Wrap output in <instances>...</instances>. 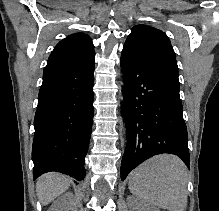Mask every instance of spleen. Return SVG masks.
<instances>
[{
    "mask_svg": "<svg viewBox=\"0 0 219 211\" xmlns=\"http://www.w3.org/2000/svg\"><path fill=\"white\" fill-rule=\"evenodd\" d=\"M188 169L180 157L162 153L129 173V189L137 199L168 211H185Z\"/></svg>",
    "mask_w": 219,
    "mask_h": 211,
    "instance_id": "3e777b00",
    "label": "spleen"
}]
</instances>
